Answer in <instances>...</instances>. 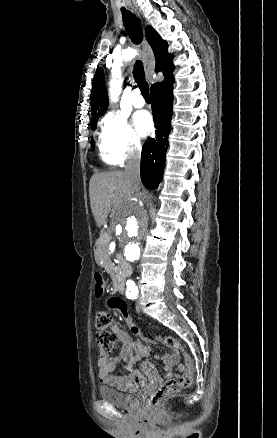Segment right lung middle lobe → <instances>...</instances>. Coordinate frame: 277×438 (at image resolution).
<instances>
[{
    "mask_svg": "<svg viewBox=\"0 0 277 438\" xmlns=\"http://www.w3.org/2000/svg\"><path fill=\"white\" fill-rule=\"evenodd\" d=\"M96 121H97V120L91 121V128H92L93 130L96 129ZM91 144L93 145V140H91Z\"/></svg>",
    "mask_w": 277,
    "mask_h": 438,
    "instance_id": "obj_1",
    "label": "right lung middle lobe"
}]
</instances>
